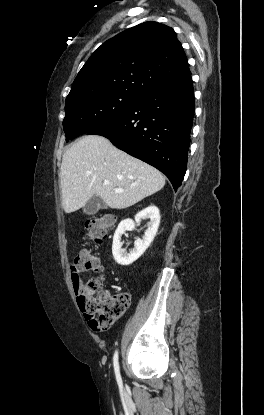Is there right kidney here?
I'll return each instance as SVG.
<instances>
[{
	"mask_svg": "<svg viewBox=\"0 0 264 415\" xmlns=\"http://www.w3.org/2000/svg\"><path fill=\"white\" fill-rule=\"evenodd\" d=\"M143 219H150L148 228L145 231V234L142 237V239L138 238L135 240L134 248L131 250L130 253H127L122 248L121 236L125 233V231L134 229L135 223L131 219H125L121 221L118 225L113 237L112 253L115 261L119 265L127 266L132 264L134 261H136L139 257L143 255V253L154 240V237L156 236L160 224L159 209L156 206L151 205L140 211L135 216V221L138 224Z\"/></svg>",
	"mask_w": 264,
	"mask_h": 415,
	"instance_id": "right-kidney-1",
	"label": "right kidney"
}]
</instances>
